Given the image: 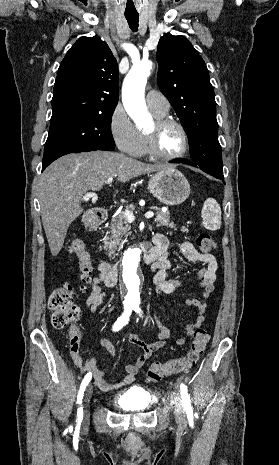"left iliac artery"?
<instances>
[{
    "label": "left iliac artery",
    "mask_w": 279,
    "mask_h": 465,
    "mask_svg": "<svg viewBox=\"0 0 279 465\" xmlns=\"http://www.w3.org/2000/svg\"><path fill=\"white\" fill-rule=\"evenodd\" d=\"M133 310L137 313H141V309L139 308L138 304L133 306ZM180 389H181L182 399L184 402L187 418L189 421H193V411H192V407L190 404V397L188 395L187 387L186 385L181 384Z\"/></svg>",
    "instance_id": "44dca946"
}]
</instances>
